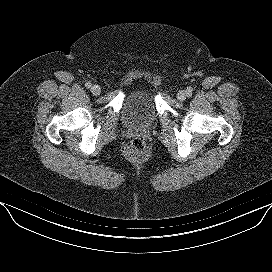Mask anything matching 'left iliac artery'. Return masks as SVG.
<instances>
[{
	"mask_svg": "<svg viewBox=\"0 0 272 272\" xmlns=\"http://www.w3.org/2000/svg\"><path fill=\"white\" fill-rule=\"evenodd\" d=\"M187 91H188V94H190V93H192L193 88H192V87H188V88H187Z\"/></svg>",
	"mask_w": 272,
	"mask_h": 272,
	"instance_id": "44dca946",
	"label": "left iliac artery"
}]
</instances>
